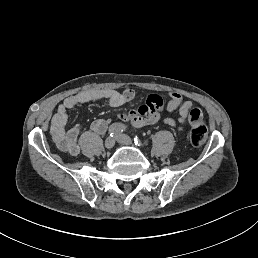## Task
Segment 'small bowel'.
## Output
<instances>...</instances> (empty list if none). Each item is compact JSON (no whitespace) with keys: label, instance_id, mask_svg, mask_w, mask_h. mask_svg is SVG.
<instances>
[{"label":"small bowel","instance_id":"1","mask_svg":"<svg viewBox=\"0 0 258 258\" xmlns=\"http://www.w3.org/2000/svg\"><path fill=\"white\" fill-rule=\"evenodd\" d=\"M169 101L165 110L169 113L178 110L179 118L176 121L172 117L164 118V123L170 127H178L182 130L185 123L192 125L201 124L203 114L199 108L193 107L191 101H183V97L176 92L169 93ZM135 98V91L127 88L123 91L114 89H88L78 92L64 99L58 105L50 123V134L56 146L71 155H78L80 147L78 139L80 136V125L75 124L66 129L68 122L67 111L79 104L107 100L112 107H120ZM164 102L161 96L152 94L146 102L136 110L119 114L122 121H129L134 127L142 128L157 123L162 117ZM109 127V123L103 119H97L91 123V130L97 134H103Z\"/></svg>","mask_w":258,"mask_h":258}]
</instances>
